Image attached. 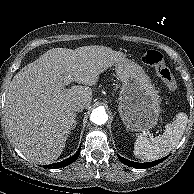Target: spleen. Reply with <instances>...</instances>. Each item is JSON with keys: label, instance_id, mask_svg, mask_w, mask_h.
Returning <instances> with one entry per match:
<instances>
[{"label": "spleen", "instance_id": "spleen-1", "mask_svg": "<svg viewBox=\"0 0 194 194\" xmlns=\"http://www.w3.org/2000/svg\"><path fill=\"white\" fill-rule=\"evenodd\" d=\"M187 122V114L180 112L173 122L166 124L162 135L154 138L139 135L134 143V155L142 161H153L166 156L179 144Z\"/></svg>", "mask_w": 194, "mask_h": 194}]
</instances>
